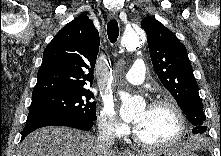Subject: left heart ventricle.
I'll use <instances>...</instances> for the list:
<instances>
[{"mask_svg": "<svg viewBox=\"0 0 221 156\" xmlns=\"http://www.w3.org/2000/svg\"><path fill=\"white\" fill-rule=\"evenodd\" d=\"M138 124L135 129L141 139L151 143L170 140L177 132L178 120L168 107H147L138 111L134 117Z\"/></svg>", "mask_w": 221, "mask_h": 156, "instance_id": "left-heart-ventricle-1", "label": "left heart ventricle"}]
</instances>
